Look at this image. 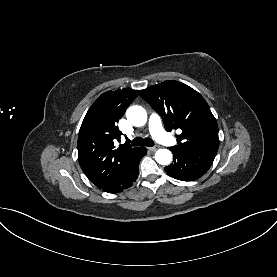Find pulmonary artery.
<instances>
[{
	"instance_id": "1",
	"label": "pulmonary artery",
	"mask_w": 277,
	"mask_h": 277,
	"mask_svg": "<svg viewBox=\"0 0 277 277\" xmlns=\"http://www.w3.org/2000/svg\"><path fill=\"white\" fill-rule=\"evenodd\" d=\"M149 130L152 136L159 142L166 145L175 144V140L163 130L161 120L158 115L152 114L150 116Z\"/></svg>"
}]
</instances>
